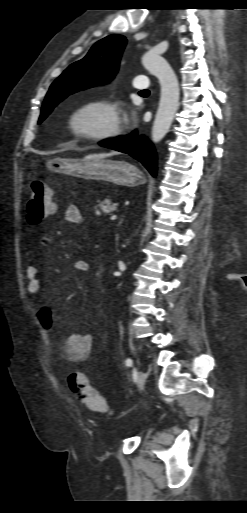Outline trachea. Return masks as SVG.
<instances>
[{
	"label": "trachea",
	"mask_w": 247,
	"mask_h": 513,
	"mask_svg": "<svg viewBox=\"0 0 247 513\" xmlns=\"http://www.w3.org/2000/svg\"><path fill=\"white\" fill-rule=\"evenodd\" d=\"M141 93H146V94H148V93H149V91H148V90H143V91H141ZM244 280L246 281V280H247V277H244Z\"/></svg>",
	"instance_id": "1"
}]
</instances>
